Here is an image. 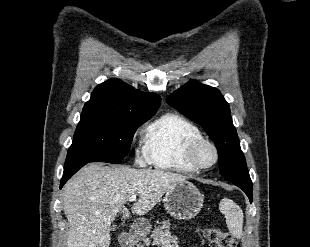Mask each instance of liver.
Instances as JSON below:
<instances>
[{
  "label": "liver",
  "mask_w": 310,
  "mask_h": 247,
  "mask_svg": "<svg viewBox=\"0 0 310 247\" xmlns=\"http://www.w3.org/2000/svg\"><path fill=\"white\" fill-rule=\"evenodd\" d=\"M186 176L159 169L109 167L93 163L80 170L62 189L64 213L69 223L67 247H109L111 224L118 213L130 217L125 204L138 201L133 214L142 216Z\"/></svg>",
  "instance_id": "liver-1"
}]
</instances>
